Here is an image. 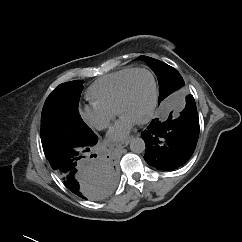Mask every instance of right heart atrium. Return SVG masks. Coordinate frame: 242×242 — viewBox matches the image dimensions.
Returning a JSON list of instances; mask_svg holds the SVG:
<instances>
[{
  "instance_id": "d8ad5b80",
  "label": "right heart atrium",
  "mask_w": 242,
  "mask_h": 242,
  "mask_svg": "<svg viewBox=\"0 0 242 242\" xmlns=\"http://www.w3.org/2000/svg\"><path fill=\"white\" fill-rule=\"evenodd\" d=\"M115 115V110L94 103L86 104L79 109V116L83 122L96 130L106 129Z\"/></svg>"
}]
</instances>
